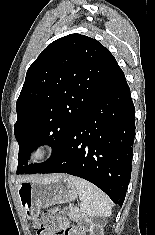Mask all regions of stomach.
Here are the masks:
<instances>
[{
    "mask_svg": "<svg viewBox=\"0 0 155 235\" xmlns=\"http://www.w3.org/2000/svg\"><path fill=\"white\" fill-rule=\"evenodd\" d=\"M18 199L25 216L35 219L42 207L70 202L77 198V189L66 175H56L18 184Z\"/></svg>",
    "mask_w": 155,
    "mask_h": 235,
    "instance_id": "stomach-1",
    "label": "stomach"
}]
</instances>
